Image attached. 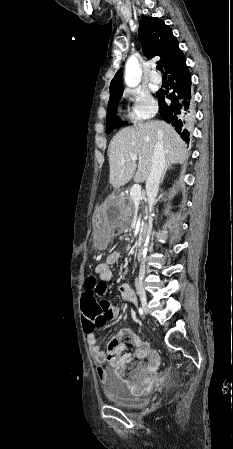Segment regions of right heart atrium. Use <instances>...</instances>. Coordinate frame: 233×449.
I'll list each match as a JSON object with an SVG mask.
<instances>
[{
	"instance_id": "obj_1",
	"label": "right heart atrium",
	"mask_w": 233,
	"mask_h": 449,
	"mask_svg": "<svg viewBox=\"0 0 233 449\" xmlns=\"http://www.w3.org/2000/svg\"><path fill=\"white\" fill-rule=\"evenodd\" d=\"M125 96L131 101L129 117L133 121L144 122L157 113V103L148 91L142 88H129Z\"/></svg>"
}]
</instances>
